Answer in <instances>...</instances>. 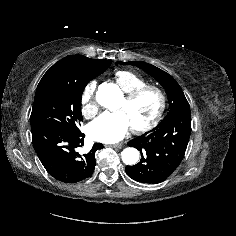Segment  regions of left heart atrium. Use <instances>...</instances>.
I'll list each match as a JSON object with an SVG mask.
<instances>
[{
    "mask_svg": "<svg viewBox=\"0 0 236 236\" xmlns=\"http://www.w3.org/2000/svg\"><path fill=\"white\" fill-rule=\"evenodd\" d=\"M130 128L125 112H106L89 125L88 134L95 141L111 144L124 138Z\"/></svg>",
    "mask_w": 236,
    "mask_h": 236,
    "instance_id": "39dd6f15",
    "label": "left heart atrium"
}]
</instances>
